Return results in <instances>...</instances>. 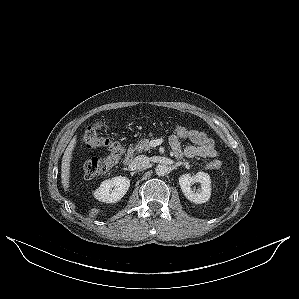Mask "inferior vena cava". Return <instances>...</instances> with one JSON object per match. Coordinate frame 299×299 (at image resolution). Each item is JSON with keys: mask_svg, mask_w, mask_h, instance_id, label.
<instances>
[{"mask_svg": "<svg viewBox=\"0 0 299 299\" xmlns=\"http://www.w3.org/2000/svg\"><path fill=\"white\" fill-rule=\"evenodd\" d=\"M150 163L149 157L145 155H139L134 158L133 160V166L136 169H144L146 168Z\"/></svg>", "mask_w": 299, "mask_h": 299, "instance_id": "602c4592", "label": "inferior vena cava"}]
</instances>
